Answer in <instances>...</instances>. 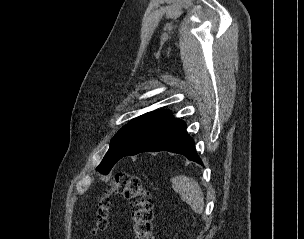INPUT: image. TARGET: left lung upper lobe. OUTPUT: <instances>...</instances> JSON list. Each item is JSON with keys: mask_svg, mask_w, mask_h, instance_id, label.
<instances>
[{"mask_svg": "<svg viewBox=\"0 0 304 239\" xmlns=\"http://www.w3.org/2000/svg\"><path fill=\"white\" fill-rule=\"evenodd\" d=\"M173 119L170 110H155L131 121L113 137L108 152L96 170L107 175L136 144Z\"/></svg>", "mask_w": 304, "mask_h": 239, "instance_id": "5c2ea615", "label": "left lung upper lobe"}]
</instances>
